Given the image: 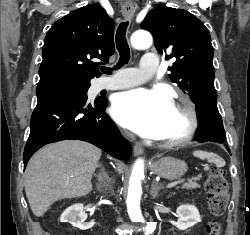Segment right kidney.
Returning <instances> with one entry per match:
<instances>
[{"label":"right kidney","instance_id":"right-kidney-1","mask_svg":"<svg viewBox=\"0 0 250 235\" xmlns=\"http://www.w3.org/2000/svg\"><path fill=\"white\" fill-rule=\"evenodd\" d=\"M83 204H74L68 207L61 215V222H68L72 226L80 229L87 230L93 226V222L85 223L87 218L86 213L83 211Z\"/></svg>","mask_w":250,"mask_h":235}]
</instances>
